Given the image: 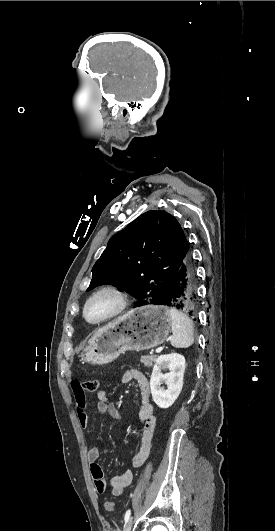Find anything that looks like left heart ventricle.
Segmentation results:
<instances>
[{"label": "left heart ventricle", "instance_id": "left-heart-ventricle-1", "mask_svg": "<svg viewBox=\"0 0 275 531\" xmlns=\"http://www.w3.org/2000/svg\"><path fill=\"white\" fill-rule=\"evenodd\" d=\"M113 300L108 297L100 298L92 302L87 308V315L97 319L107 314L113 308Z\"/></svg>", "mask_w": 275, "mask_h": 531}]
</instances>
